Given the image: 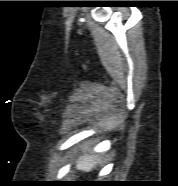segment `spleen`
<instances>
[{
	"label": "spleen",
	"mask_w": 178,
	"mask_h": 186,
	"mask_svg": "<svg viewBox=\"0 0 178 186\" xmlns=\"http://www.w3.org/2000/svg\"><path fill=\"white\" fill-rule=\"evenodd\" d=\"M99 159L97 156H90L86 159H84L79 165H78V168L79 169H82V170H85V171H90L96 162H98Z\"/></svg>",
	"instance_id": "spleen-1"
}]
</instances>
